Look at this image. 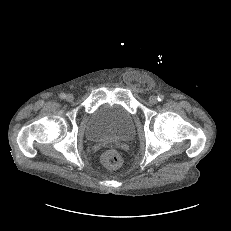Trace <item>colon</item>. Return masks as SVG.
<instances>
[{
    "label": "colon",
    "instance_id": "5ec220e1",
    "mask_svg": "<svg viewBox=\"0 0 231 231\" xmlns=\"http://www.w3.org/2000/svg\"><path fill=\"white\" fill-rule=\"evenodd\" d=\"M101 159L102 163L108 168H117L122 163V158L120 154L113 149L106 150L102 154Z\"/></svg>",
    "mask_w": 231,
    "mask_h": 231
}]
</instances>
